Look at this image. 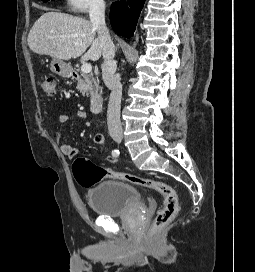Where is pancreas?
<instances>
[{
    "label": "pancreas",
    "instance_id": "cf45deb5",
    "mask_svg": "<svg viewBox=\"0 0 255 272\" xmlns=\"http://www.w3.org/2000/svg\"><path fill=\"white\" fill-rule=\"evenodd\" d=\"M81 76L84 79L83 81H78L77 89L83 94L89 95L94 90H98V81L93 77L92 74L81 73Z\"/></svg>",
    "mask_w": 255,
    "mask_h": 272
}]
</instances>
